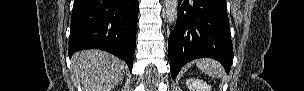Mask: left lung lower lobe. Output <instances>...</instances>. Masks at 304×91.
<instances>
[{"instance_id":"left-lung-lower-lobe-1","label":"left lung lower lobe","mask_w":304,"mask_h":91,"mask_svg":"<svg viewBox=\"0 0 304 91\" xmlns=\"http://www.w3.org/2000/svg\"><path fill=\"white\" fill-rule=\"evenodd\" d=\"M168 51L173 79L197 58H213L228 72L234 54L226 0H179Z\"/></svg>"}]
</instances>
